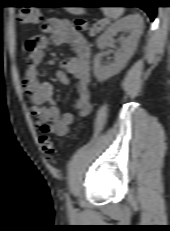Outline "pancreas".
Instances as JSON below:
<instances>
[{
  "label": "pancreas",
  "instance_id": "pancreas-1",
  "mask_svg": "<svg viewBox=\"0 0 170 231\" xmlns=\"http://www.w3.org/2000/svg\"><path fill=\"white\" fill-rule=\"evenodd\" d=\"M108 22L106 20H101L99 22H97L91 29H90V36H94L95 34L99 33L101 30H103V28L105 27V25H107ZM99 25V26H98Z\"/></svg>",
  "mask_w": 170,
  "mask_h": 231
}]
</instances>
